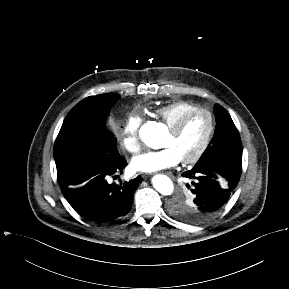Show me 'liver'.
Masks as SVG:
<instances>
[{"label":"liver","mask_w":289,"mask_h":289,"mask_svg":"<svg viewBox=\"0 0 289 289\" xmlns=\"http://www.w3.org/2000/svg\"><path fill=\"white\" fill-rule=\"evenodd\" d=\"M109 125L112 127L114 131H117L118 127L112 118L109 119Z\"/></svg>","instance_id":"6515ba94"}]
</instances>
